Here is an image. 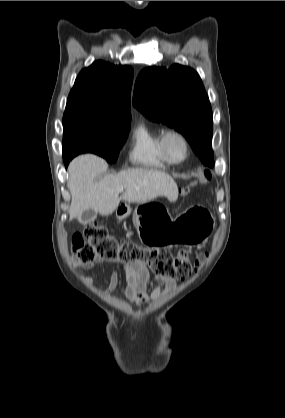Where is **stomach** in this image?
Segmentation results:
<instances>
[{
    "label": "stomach",
    "mask_w": 285,
    "mask_h": 418,
    "mask_svg": "<svg viewBox=\"0 0 285 418\" xmlns=\"http://www.w3.org/2000/svg\"><path fill=\"white\" fill-rule=\"evenodd\" d=\"M145 205L137 207L133 214V224L145 243L151 244L160 236H166L171 244L194 245L207 240L214 229L213 217L203 207L189 208L174 219H166L165 225L156 213L146 212ZM130 212L127 207L121 217H127Z\"/></svg>",
    "instance_id": "1"
}]
</instances>
